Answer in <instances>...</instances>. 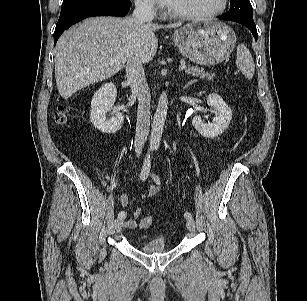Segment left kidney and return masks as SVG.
Wrapping results in <instances>:
<instances>
[{
  "mask_svg": "<svg viewBox=\"0 0 307 301\" xmlns=\"http://www.w3.org/2000/svg\"><path fill=\"white\" fill-rule=\"evenodd\" d=\"M207 104L216 111L212 123H203L200 116L196 115L192 120L194 128L206 138H215L222 134L229 126L232 118V110L218 94H210L207 97Z\"/></svg>",
  "mask_w": 307,
  "mask_h": 301,
  "instance_id": "5707ae66",
  "label": "left kidney"
}]
</instances>
